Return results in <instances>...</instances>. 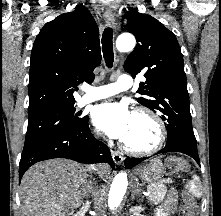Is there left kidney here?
Segmentation results:
<instances>
[{
  "mask_svg": "<svg viewBox=\"0 0 221 216\" xmlns=\"http://www.w3.org/2000/svg\"><path fill=\"white\" fill-rule=\"evenodd\" d=\"M155 216H168L164 211L163 209L160 207V208H156L155 210Z\"/></svg>",
  "mask_w": 221,
  "mask_h": 216,
  "instance_id": "5707ae66",
  "label": "left kidney"
}]
</instances>
